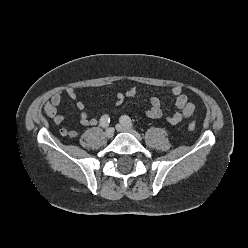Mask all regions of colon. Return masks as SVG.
<instances>
[{"label":"colon","mask_w":248,"mask_h":248,"mask_svg":"<svg viewBox=\"0 0 248 248\" xmlns=\"http://www.w3.org/2000/svg\"><path fill=\"white\" fill-rule=\"evenodd\" d=\"M195 128H196L195 122H190V123L188 124V129H189V130L193 131V130H195Z\"/></svg>","instance_id":"1"}]
</instances>
